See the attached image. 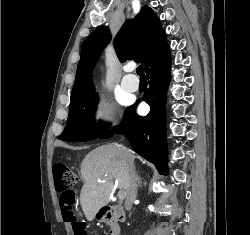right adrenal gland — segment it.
<instances>
[{
	"label": "right adrenal gland",
	"instance_id": "1",
	"mask_svg": "<svg viewBox=\"0 0 250 235\" xmlns=\"http://www.w3.org/2000/svg\"><path fill=\"white\" fill-rule=\"evenodd\" d=\"M138 185H139V187L142 186V181H141V177L140 176H138Z\"/></svg>",
	"mask_w": 250,
	"mask_h": 235
}]
</instances>
